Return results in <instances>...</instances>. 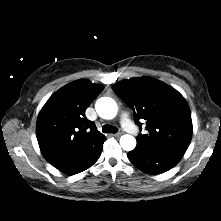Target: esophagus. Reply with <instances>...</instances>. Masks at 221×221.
Here are the masks:
<instances>
[{
  "label": "esophagus",
  "mask_w": 221,
  "mask_h": 221,
  "mask_svg": "<svg viewBox=\"0 0 221 221\" xmlns=\"http://www.w3.org/2000/svg\"><path fill=\"white\" fill-rule=\"evenodd\" d=\"M123 134V131H119L115 134H113L114 137H120Z\"/></svg>",
  "instance_id": "34e87169"
}]
</instances>
